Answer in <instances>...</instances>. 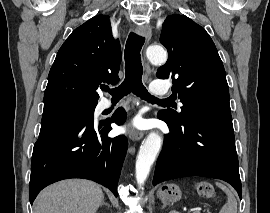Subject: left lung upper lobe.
<instances>
[{"mask_svg": "<svg viewBox=\"0 0 270 213\" xmlns=\"http://www.w3.org/2000/svg\"><path fill=\"white\" fill-rule=\"evenodd\" d=\"M160 42L167 48L168 60L157 77L173 79V94L183 106L179 113L164 110L158 114L176 124L193 117L231 119L224 66L206 30L185 15H169Z\"/></svg>", "mask_w": 270, "mask_h": 213, "instance_id": "5c2ea615", "label": "left lung upper lobe"}]
</instances>
